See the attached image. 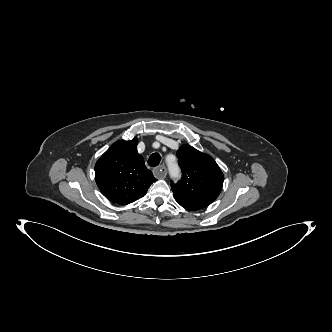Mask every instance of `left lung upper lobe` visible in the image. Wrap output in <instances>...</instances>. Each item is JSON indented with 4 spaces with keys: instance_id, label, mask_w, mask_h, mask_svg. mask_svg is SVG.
<instances>
[{
    "instance_id": "1",
    "label": "left lung upper lobe",
    "mask_w": 332,
    "mask_h": 332,
    "mask_svg": "<svg viewBox=\"0 0 332 332\" xmlns=\"http://www.w3.org/2000/svg\"><path fill=\"white\" fill-rule=\"evenodd\" d=\"M182 179L171 184L175 200L185 209L207 207L220 194L224 176L215 160L189 145L177 151Z\"/></svg>"
}]
</instances>
